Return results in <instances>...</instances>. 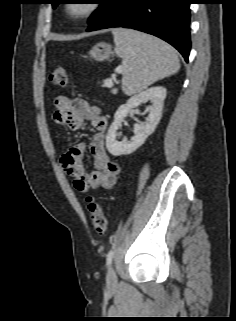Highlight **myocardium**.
Listing matches in <instances>:
<instances>
[{
  "label": "myocardium",
  "instance_id": "myocardium-1",
  "mask_svg": "<svg viewBox=\"0 0 236 321\" xmlns=\"http://www.w3.org/2000/svg\"><path fill=\"white\" fill-rule=\"evenodd\" d=\"M100 7L94 0L71 1L63 5L62 12L70 20L83 21L93 17Z\"/></svg>",
  "mask_w": 236,
  "mask_h": 321
}]
</instances>
